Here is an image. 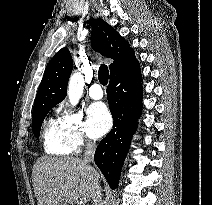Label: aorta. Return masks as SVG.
Returning a JSON list of instances; mask_svg holds the SVG:
<instances>
[{
  "label": "aorta",
  "instance_id": "762f6f07",
  "mask_svg": "<svg viewBox=\"0 0 212 205\" xmlns=\"http://www.w3.org/2000/svg\"><path fill=\"white\" fill-rule=\"evenodd\" d=\"M84 87L83 75L79 72L71 75L68 83L67 95L70 103L75 106L78 104Z\"/></svg>",
  "mask_w": 212,
  "mask_h": 205
}]
</instances>
